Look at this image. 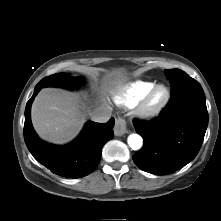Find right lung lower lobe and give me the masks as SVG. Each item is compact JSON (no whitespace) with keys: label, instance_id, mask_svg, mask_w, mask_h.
Instances as JSON below:
<instances>
[{"label":"right lung lower lobe","instance_id":"98d812e1","mask_svg":"<svg viewBox=\"0 0 221 221\" xmlns=\"http://www.w3.org/2000/svg\"><path fill=\"white\" fill-rule=\"evenodd\" d=\"M41 88L36 85L25 108L24 139L27 148L38 162L54 174L79 178L92 173L99 164L103 145L114 136V118L104 124L87 122L81 134L68 145L47 144L38 138L31 123V105Z\"/></svg>","mask_w":221,"mask_h":221}]
</instances>
